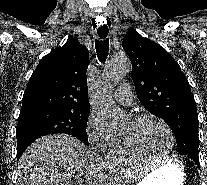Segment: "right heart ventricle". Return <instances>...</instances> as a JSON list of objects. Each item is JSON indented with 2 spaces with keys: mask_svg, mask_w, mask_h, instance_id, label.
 <instances>
[{
  "mask_svg": "<svg viewBox=\"0 0 207 185\" xmlns=\"http://www.w3.org/2000/svg\"><path fill=\"white\" fill-rule=\"evenodd\" d=\"M105 154L108 159L114 162H132L145 159L142 156L134 154L127 148L121 134H116L112 142L105 149Z\"/></svg>",
  "mask_w": 207,
  "mask_h": 185,
  "instance_id": "right-heart-ventricle-1",
  "label": "right heart ventricle"
}]
</instances>
